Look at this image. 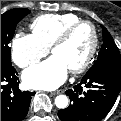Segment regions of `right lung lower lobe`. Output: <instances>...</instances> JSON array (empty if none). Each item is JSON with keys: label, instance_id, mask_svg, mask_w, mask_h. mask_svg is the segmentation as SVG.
Wrapping results in <instances>:
<instances>
[{"label": "right lung lower lobe", "instance_id": "right-lung-lower-lobe-1", "mask_svg": "<svg viewBox=\"0 0 121 121\" xmlns=\"http://www.w3.org/2000/svg\"><path fill=\"white\" fill-rule=\"evenodd\" d=\"M17 75L13 66H1V121H22L35 94L19 90Z\"/></svg>", "mask_w": 121, "mask_h": 121}]
</instances>
